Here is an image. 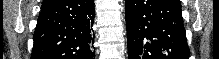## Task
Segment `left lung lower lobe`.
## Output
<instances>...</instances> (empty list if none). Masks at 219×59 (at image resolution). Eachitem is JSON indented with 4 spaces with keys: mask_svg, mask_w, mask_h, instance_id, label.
I'll use <instances>...</instances> for the list:
<instances>
[{
    "mask_svg": "<svg viewBox=\"0 0 219 59\" xmlns=\"http://www.w3.org/2000/svg\"><path fill=\"white\" fill-rule=\"evenodd\" d=\"M129 59H189L179 0H125Z\"/></svg>",
    "mask_w": 219,
    "mask_h": 59,
    "instance_id": "obj_1",
    "label": "left lung lower lobe"
}]
</instances>
